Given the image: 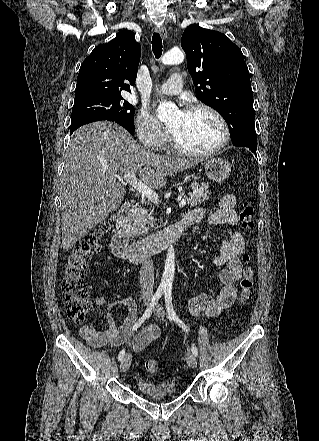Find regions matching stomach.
Listing matches in <instances>:
<instances>
[{
    "instance_id": "stomach-1",
    "label": "stomach",
    "mask_w": 319,
    "mask_h": 441,
    "mask_svg": "<svg viewBox=\"0 0 319 441\" xmlns=\"http://www.w3.org/2000/svg\"><path fill=\"white\" fill-rule=\"evenodd\" d=\"M205 172L209 179L221 182L229 177L231 165L222 158H212L205 163Z\"/></svg>"
}]
</instances>
